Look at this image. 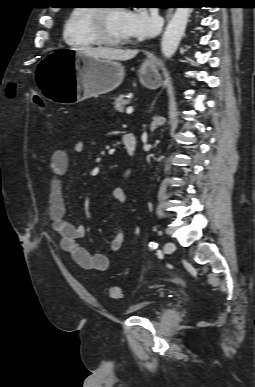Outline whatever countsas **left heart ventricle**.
<instances>
[{"instance_id": "obj_1", "label": "left heart ventricle", "mask_w": 255, "mask_h": 387, "mask_svg": "<svg viewBox=\"0 0 255 387\" xmlns=\"http://www.w3.org/2000/svg\"><path fill=\"white\" fill-rule=\"evenodd\" d=\"M125 14L123 9L112 10L107 18V27L111 36L118 39H128L125 30Z\"/></svg>"}]
</instances>
